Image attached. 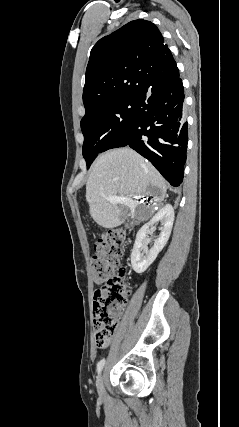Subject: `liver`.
<instances>
[{"mask_svg":"<svg viewBox=\"0 0 239 427\" xmlns=\"http://www.w3.org/2000/svg\"><path fill=\"white\" fill-rule=\"evenodd\" d=\"M151 188L159 190L154 201L161 203L167 191L166 181L137 152L125 147L101 154L93 163L86 184L90 215L104 228L117 227L135 214L136 204H112L107 197L152 196Z\"/></svg>","mask_w":239,"mask_h":427,"instance_id":"6515ba94","label":"liver"}]
</instances>
